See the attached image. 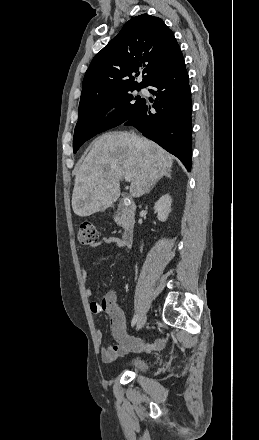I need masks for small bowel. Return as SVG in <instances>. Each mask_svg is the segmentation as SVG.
Segmentation results:
<instances>
[{
	"label": "small bowel",
	"instance_id": "1",
	"mask_svg": "<svg viewBox=\"0 0 259 440\" xmlns=\"http://www.w3.org/2000/svg\"><path fill=\"white\" fill-rule=\"evenodd\" d=\"M107 244H114L119 248H127L123 239L116 236L103 237L98 242L92 244L91 248H99ZM82 281L85 285L86 296L91 297L92 290L88 286L86 270L82 271ZM89 308L93 314L105 312L110 318L111 332L116 343L101 349V357L106 362H111L129 351L160 350L166 344L165 339H157L152 344H145L142 339L130 336L127 332L124 314L116 304L113 295H108L102 302L92 301L89 304ZM96 337L99 342L102 341L103 334L100 330L96 332Z\"/></svg>",
	"mask_w": 259,
	"mask_h": 440
}]
</instances>
